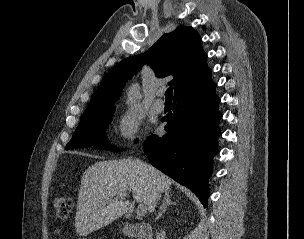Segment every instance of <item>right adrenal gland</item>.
<instances>
[{"instance_id":"1","label":"right adrenal gland","mask_w":304,"mask_h":239,"mask_svg":"<svg viewBox=\"0 0 304 239\" xmlns=\"http://www.w3.org/2000/svg\"><path fill=\"white\" fill-rule=\"evenodd\" d=\"M174 204H175V202L170 200L169 192L166 191L164 194L163 204L160 207V211L156 217V220H159L162 217V215L166 212V209L168 206L174 205Z\"/></svg>"}]
</instances>
